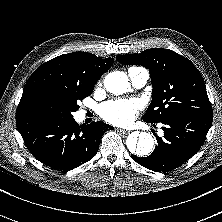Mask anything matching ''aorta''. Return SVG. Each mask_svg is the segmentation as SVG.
Wrapping results in <instances>:
<instances>
[{"instance_id": "762f6f07", "label": "aorta", "mask_w": 222, "mask_h": 222, "mask_svg": "<svg viewBox=\"0 0 222 222\" xmlns=\"http://www.w3.org/2000/svg\"><path fill=\"white\" fill-rule=\"evenodd\" d=\"M104 86L113 94H123L130 90L127 75L120 71L109 73L104 79ZM126 145L132 154L145 157L152 152L154 141L151 134L147 132H132L126 140Z\"/></svg>"}]
</instances>
